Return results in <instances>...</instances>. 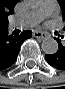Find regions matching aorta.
Instances as JSON below:
<instances>
[{"instance_id":"aorta-1","label":"aorta","mask_w":65,"mask_h":89,"mask_svg":"<svg viewBox=\"0 0 65 89\" xmlns=\"http://www.w3.org/2000/svg\"><path fill=\"white\" fill-rule=\"evenodd\" d=\"M39 5H40L39 0H30L27 2V6L32 9L39 7ZM41 47H42V50L44 51V53L48 54V55L55 54L58 51V43L52 37L45 38L42 41Z\"/></svg>"}]
</instances>
